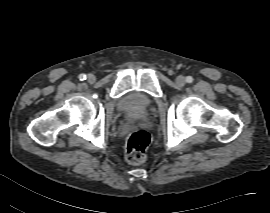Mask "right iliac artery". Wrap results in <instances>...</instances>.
Here are the masks:
<instances>
[{
    "instance_id": "obj_1",
    "label": "right iliac artery",
    "mask_w": 270,
    "mask_h": 213,
    "mask_svg": "<svg viewBox=\"0 0 270 213\" xmlns=\"http://www.w3.org/2000/svg\"><path fill=\"white\" fill-rule=\"evenodd\" d=\"M79 79H80L81 81L85 80V79H86V75H85V74H80V75H79Z\"/></svg>"
}]
</instances>
